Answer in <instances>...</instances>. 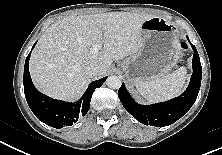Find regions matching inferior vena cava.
Here are the masks:
<instances>
[{"label":"inferior vena cava","mask_w":222,"mask_h":155,"mask_svg":"<svg viewBox=\"0 0 222 155\" xmlns=\"http://www.w3.org/2000/svg\"><path fill=\"white\" fill-rule=\"evenodd\" d=\"M101 72H102V68L96 64H90L86 68V74L90 78L99 77L101 75Z\"/></svg>","instance_id":"602c4592"}]
</instances>
